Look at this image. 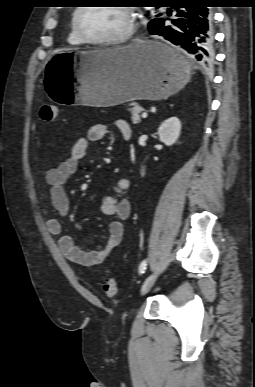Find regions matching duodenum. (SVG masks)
Returning a JSON list of instances; mask_svg holds the SVG:
<instances>
[{"label":"duodenum","mask_w":255,"mask_h":387,"mask_svg":"<svg viewBox=\"0 0 255 387\" xmlns=\"http://www.w3.org/2000/svg\"><path fill=\"white\" fill-rule=\"evenodd\" d=\"M124 138H125V139H128V138H129V135H125Z\"/></svg>","instance_id":"1"}]
</instances>
